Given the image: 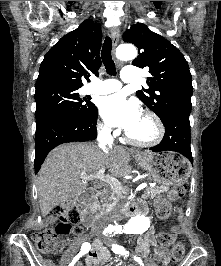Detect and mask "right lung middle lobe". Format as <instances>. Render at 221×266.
<instances>
[{"mask_svg": "<svg viewBox=\"0 0 221 266\" xmlns=\"http://www.w3.org/2000/svg\"><path fill=\"white\" fill-rule=\"evenodd\" d=\"M78 89L67 86L36 88V128L58 117H92L97 108L88 101L89 97L81 98Z\"/></svg>", "mask_w": 221, "mask_h": 266, "instance_id": "obj_1", "label": "right lung middle lobe"}]
</instances>
